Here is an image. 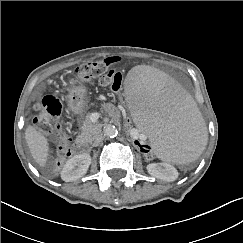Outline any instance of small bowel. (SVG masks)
<instances>
[{
  "mask_svg": "<svg viewBox=\"0 0 243 243\" xmlns=\"http://www.w3.org/2000/svg\"><path fill=\"white\" fill-rule=\"evenodd\" d=\"M105 107H106V109H107L108 111L114 113V106H113L112 104L107 103V104L105 105Z\"/></svg>",
  "mask_w": 243,
  "mask_h": 243,
  "instance_id": "c3829d8e",
  "label": "small bowel"
}]
</instances>
